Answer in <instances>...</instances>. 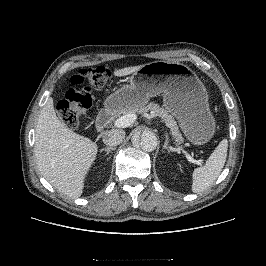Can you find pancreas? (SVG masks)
<instances>
[{
	"label": "pancreas",
	"instance_id": "pancreas-1",
	"mask_svg": "<svg viewBox=\"0 0 266 266\" xmlns=\"http://www.w3.org/2000/svg\"><path fill=\"white\" fill-rule=\"evenodd\" d=\"M137 111L138 109H127L125 113L130 114V113H135ZM139 111L140 112L152 111L155 115L161 117L165 121L166 126L170 128L173 138L178 143L183 142L184 139L179 131L177 122L175 121L173 116H171L164 108L160 107L156 103L151 102L146 107H142Z\"/></svg>",
	"mask_w": 266,
	"mask_h": 266
}]
</instances>
